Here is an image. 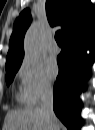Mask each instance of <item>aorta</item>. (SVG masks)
I'll return each mask as SVG.
<instances>
[{
  "label": "aorta",
  "instance_id": "obj_1",
  "mask_svg": "<svg viewBox=\"0 0 95 130\" xmlns=\"http://www.w3.org/2000/svg\"><path fill=\"white\" fill-rule=\"evenodd\" d=\"M42 27L40 23H33L28 29L24 40L25 59L34 64L41 54Z\"/></svg>",
  "mask_w": 95,
  "mask_h": 130
}]
</instances>
